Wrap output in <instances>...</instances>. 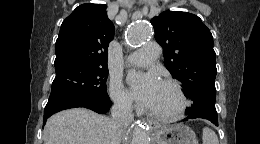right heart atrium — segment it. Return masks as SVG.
Segmentation results:
<instances>
[{"label": "right heart atrium", "mask_w": 260, "mask_h": 144, "mask_svg": "<svg viewBox=\"0 0 260 144\" xmlns=\"http://www.w3.org/2000/svg\"><path fill=\"white\" fill-rule=\"evenodd\" d=\"M109 93L112 101L121 109L129 110L133 107V99L124 88L122 81L118 77H113L109 85Z\"/></svg>", "instance_id": "d8ad5b80"}]
</instances>
